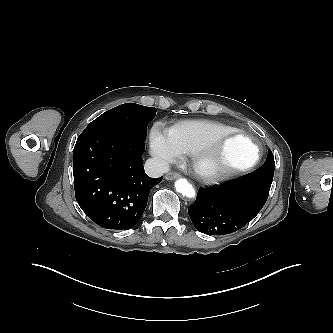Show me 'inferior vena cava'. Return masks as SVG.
<instances>
[{
    "mask_svg": "<svg viewBox=\"0 0 333 333\" xmlns=\"http://www.w3.org/2000/svg\"><path fill=\"white\" fill-rule=\"evenodd\" d=\"M145 172L149 177L157 178L169 171V163L161 158H149L144 165Z\"/></svg>",
    "mask_w": 333,
    "mask_h": 333,
    "instance_id": "inferior-vena-cava-1",
    "label": "inferior vena cava"
}]
</instances>
